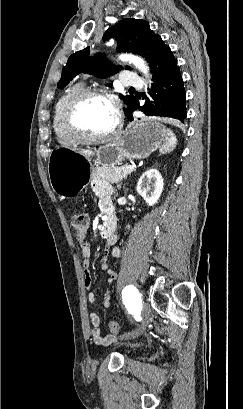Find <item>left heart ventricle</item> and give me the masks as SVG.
Listing matches in <instances>:
<instances>
[{
	"instance_id": "1",
	"label": "left heart ventricle",
	"mask_w": 243,
	"mask_h": 409,
	"mask_svg": "<svg viewBox=\"0 0 243 409\" xmlns=\"http://www.w3.org/2000/svg\"><path fill=\"white\" fill-rule=\"evenodd\" d=\"M76 121L86 134L98 135L110 130L115 118L107 102L92 98L82 102L78 107Z\"/></svg>"
}]
</instances>
